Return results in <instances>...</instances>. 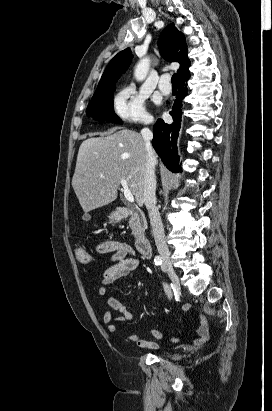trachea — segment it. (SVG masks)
<instances>
[{
    "instance_id": "trachea-1",
    "label": "trachea",
    "mask_w": 272,
    "mask_h": 411,
    "mask_svg": "<svg viewBox=\"0 0 272 411\" xmlns=\"http://www.w3.org/2000/svg\"><path fill=\"white\" fill-rule=\"evenodd\" d=\"M172 86H177V74L174 73L171 78Z\"/></svg>"
}]
</instances>
